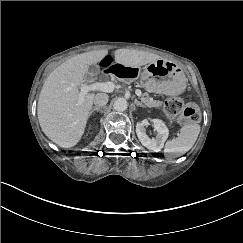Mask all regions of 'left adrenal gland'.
Instances as JSON below:
<instances>
[{
  "mask_svg": "<svg viewBox=\"0 0 243 243\" xmlns=\"http://www.w3.org/2000/svg\"><path fill=\"white\" fill-rule=\"evenodd\" d=\"M134 104L136 105V107L146 108V106L139 102L137 99L134 100Z\"/></svg>",
  "mask_w": 243,
  "mask_h": 243,
  "instance_id": "a2214340",
  "label": "left adrenal gland"
}]
</instances>
